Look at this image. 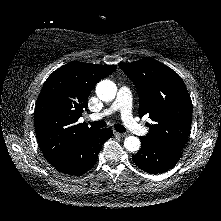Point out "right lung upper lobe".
Listing matches in <instances>:
<instances>
[{
    "mask_svg": "<svg viewBox=\"0 0 221 221\" xmlns=\"http://www.w3.org/2000/svg\"><path fill=\"white\" fill-rule=\"evenodd\" d=\"M116 69L115 65L70 62L45 81L36 102L34 125L46 160L53 165L97 129L78 123L94 86Z\"/></svg>",
    "mask_w": 221,
    "mask_h": 221,
    "instance_id": "1",
    "label": "right lung upper lobe"
}]
</instances>
